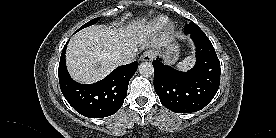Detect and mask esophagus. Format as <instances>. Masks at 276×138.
Returning <instances> with one entry per match:
<instances>
[{
	"instance_id": "34e87169",
	"label": "esophagus",
	"mask_w": 276,
	"mask_h": 138,
	"mask_svg": "<svg viewBox=\"0 0 276 138\" xmlns=\"http://www.w3.org/2000/svg\"><path fill=\"white\" fill-rule=\"evenodd\" d=\"M153 56H154L153 52L151 50H147L141 55L140 60L145 62L151 61Z\"/></svg>"
}]
</instances>
